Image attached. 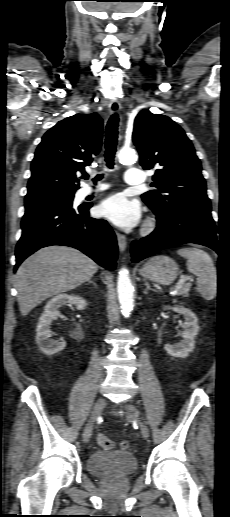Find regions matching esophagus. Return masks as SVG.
Segmentation results:
<instances>
[{"label":"esophagus","mask_w":230,"mask_h":517,"mask_svg":"<svg viewBox=\"0 0 230 517\" xmlns=\"http://www.w3.org/2000/svg\"><path fill=\"white\" fill-rule=\"evenodd\" d=\"M120 109H121V105L118 100L111 101V103L109 105V111L111 114L119 113ZM116 237H117V242H118L120 251L124 252L127 248V239H126L125 235H123L119 232H116Z\"/></svg>","instance_id":"34e87169"}]
</instances>
